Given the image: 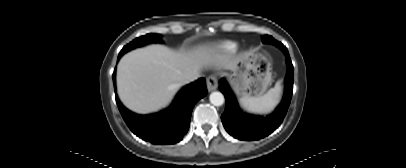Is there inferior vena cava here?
Returning a JSON list of instances; mask_svg holds the SVG:
<instances>
[{
  "mask_svg": "<svg viewBox=\"0 0 406 168\" xmlns=\"http://www.w3.org/2000/svg\"><path fill=\"white\" fill-rule=\"evenodd\" d=\"M199 76H200L199 73L196 72V71L192 72V73H186V74L181 76L180 81H181L182 84H187V83H190L192 81H195L196 79H198Z\"/></svg>",
  "mask_w": 406,
  "mask_h": 168,
  "instance_id": "obj_1",
  "label": "inferior vena cava"
}]
</instances>
